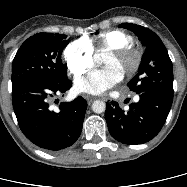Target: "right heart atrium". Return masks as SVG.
<instances>
[{
  "label": "right heart atrium",
  "mask_w": 187,
  "mask_h": 187,
  "mask_svg": "<svg viewBox=\"0 0 187 187\" xmlns=\"http://www.w3.org/2000/svg\"><path fill=\"white\" fill-rule=\"evenodd\" d=\"M63 56L68 70L79 76L92 66L94 50L87 40L80 39L70 43Z\"/></svg>",
  "instance_id": "1"
}]
</instances>
